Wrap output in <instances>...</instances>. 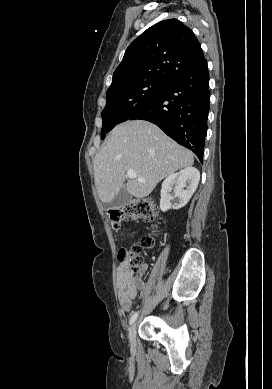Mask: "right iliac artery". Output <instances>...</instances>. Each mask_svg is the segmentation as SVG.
Returning a JSON list of instances; mask_svg holds the SVG:
<instances>
[{
  "label": "right iliac artery",
  "instance_id": "1",
  "mask_svg": "<svg viewBox=\"0 0 272 389\" xmlns=\"http://www.w3.org/2000/svg\"><path fill=\"white\" fill-rule=\"evenodd\" d=\"M138 316V312H135L129 320V324L132 325Z\"/></svg>",
  "mask_w": 272,
  "mask_h": 389
}]
</instances>
